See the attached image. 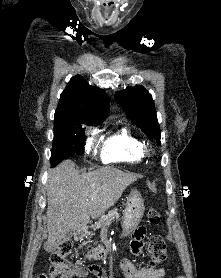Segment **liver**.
Wrapping results in <instances>:
<instances>
[{
    "label": "liver",
    "instance_id": "liver-1",
    "mask_svg": "<svg viewBox=\"0 0 221 278\" xmlns=\"http://www.w3.org/2000/svg\"><path fill=\"white\" fill-rule=\"evenodd\" d=\"M137 177L113 167H102L80 174L75 163L67 160L51 171L47 190V251L69 231L87 228L90 217L96 219L113 206Z\"/></svg>",
    "mask_w": 221,
    "mask_h": 278
}]
</instances>
